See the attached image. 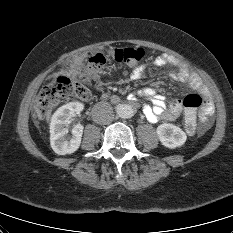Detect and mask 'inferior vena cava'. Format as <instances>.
I'll list each match as a JSON object with an SVG mask.
<instances>
[{
	"mask_svg": "<svg viewBox=\"0 0 233 233\" xmlns=\"http://www.w3.org/2000/svg\"><path fill=\"white\" fill-rule=\"evenodd\" d=\"M92 119L98 124H110L114 119L113 108L107 102H99L92 109Z\"/></svg>",
	"mask_w": 233,
	"mask_h": 233,
	"instance_id": "602c4592",
	"label": "inferior vena cava"
}]
</instances>
